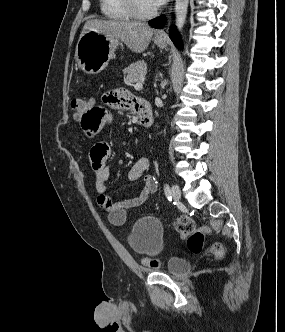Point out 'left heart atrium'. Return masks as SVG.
I'll use <instances>...</instances> for the list:
<instances>
[{
    "label": "left heart atrium",
    "mask_w": 285,
    "mask_h": 332,
    "mask_svg": "<svg viewBox=\"0 0 285 332\" xmlns=\"http://www.w3.org/2000/svg\"><path fill=\"white\" fill-rule=\"evenodd\" d=\"M166 2V0H151V3L153 4V6L155 8L160 7L161 5H163Z\"/></svg>",
    "instance_id": "39dd6f15"
}]
</instances>
